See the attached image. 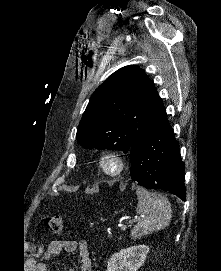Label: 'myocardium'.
Segmentation results:
<instances>
[{"label":"myocardium","mask_w":221,"mask_h":271,"mask_svg":"<svg viewBox=\"0 0 221 271\" xmlns=\"http://www.w3.org/2000/svg\"><path fill=\"white\" fill-rule=\"evenodd\" d=\"M108 151H110V150H108ZM111 151H113V150H111ZM111 154L113 155L114 153H111ZM115 154H117V153H115ZM103 157L105 158L106 156H103ZM111 157H113V156H111ZM105 160L110 165H101L103 168L101 170H99V172H102L100 174L102 177L105 176V177H109V178H115V177L120 176L122 173H124L126 171V170H124L125 169L124 165H111L113 162L114 163L119 162L117 159H105Z\"/></svg>","instance_id":"myocardium-1"}]
</instances>
